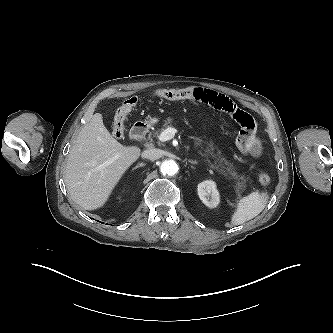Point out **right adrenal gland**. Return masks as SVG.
<instances>
[{"label": "right adrenal gland", "mask_w": 333, "mask_h": 333, "mask_svg": "<svg viewBox=\"0 0 333 333\" xmlns=\"http://www.w3.org/2000/svg\"><path fill=\"white\" fill-rule=\"evenodd\" d=\"M145 164L144 163H140L139 165H137L134 169L140 168V167H144Z\"/></svg>", "instance_id": "obj_1"}]
</instances>
